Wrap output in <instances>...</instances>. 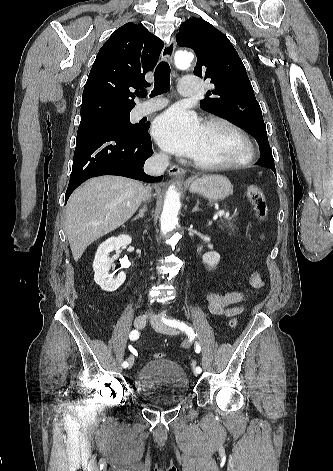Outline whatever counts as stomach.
I'll list each match as a JSON object with an SVG mask.
<instances>
[{
  "instance_id": "1",
  "label": "stomach",
  "mask_w": 333,
  "mask_h": 471,
  "mask_svg": "<svg viewBox=\"0 0 333 471\" xmlns=\"http://www.w3.org/2000/svg\"><path fill=\"white\" fill-rule=\"evenodd\" d=\"M189 191L211 201H221L231 194L232 185L225 176L203 175L189 184Z\"/></svg>"
}]
</instances>
